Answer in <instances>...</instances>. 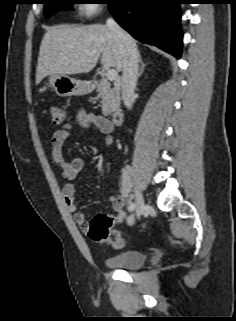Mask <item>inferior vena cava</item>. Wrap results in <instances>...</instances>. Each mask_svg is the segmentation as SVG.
Masks as SVG:
<instances>
[{
	"label": "inferior vena cava",
	"mask_w": 236,
	"mask_h": 321,
	"mask_svg": "<svg viewBox=\"0 0 236 321\" xmlns=\"http://www.w3.org/2000/svg\"><path fill=\"white\" fill-rule=\"evenodd\" d=\"M107 27L116 38L124 54L122 99L124 105L128 109H131L138 79L139 53L133 38L126 33L113 18L107 19Z\"/></svg>",
	"instance_id": "602c4592"
}]
</instances>
